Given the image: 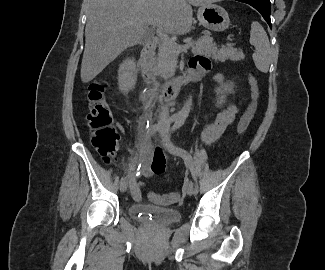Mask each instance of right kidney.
<instances>
[{
	"label": "right kidney",
	"mask_w": 325,
	"mask_h": 270,
	"mask_svg": "<svg viewBox=\"0 0 325 270\" xmlns=\"http://www.w3.org/2000/svg\"><path fill=\"white\" fill-rule=\"evenodd\" d=\"M119 79V89L121 92L126 94L132 90L137 79L136 66L133 60H125L123 62Z\"/></svg>",
	"instance_id": "1"
}]
</instances>
